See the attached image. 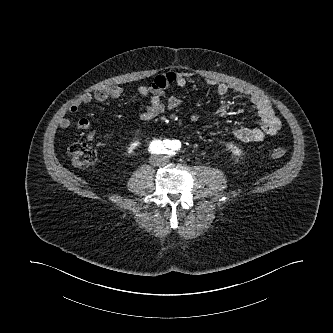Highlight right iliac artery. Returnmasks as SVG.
I'll use <instances>...</instances> for the list:
<instances>
[{"label": "right iliac artery", "mask_w": 333, "mask_h": 333, "mask_svg": "<svg viewBox=\"0 0 333 333\" xmlns=\"http://www.w3.org/2000/svg\"><path fill=\"white\" fill-rule=\"evenodd\" d=\"M165 147L166 148L171 147L170 140H164L163 142L160 140H154L149 145V151H151V153H156V154H165L168 152Z\"/></svg>", "instance_id": "obj_1"}]
</instances>
